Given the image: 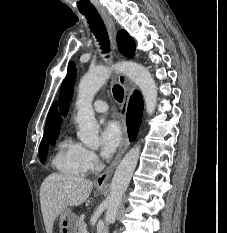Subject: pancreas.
Segmentation results:
<instances>
[{
  "label": "pancreas",
  "mask_w": 227,
  "mask_h": 233,
  "mask_svg": "<svg viewBox=\"0 0 227 233\" xmlns=\"http://www.w3.org/2000/svg\"><path fill=\"white\" fill-rule=\"evenodd\" d=\"M86 229V224L82 219L78 220V232L77 233H84V230Z\"/></svg>",
  "instance_id": "cf45deb5"
}]
</instances>
